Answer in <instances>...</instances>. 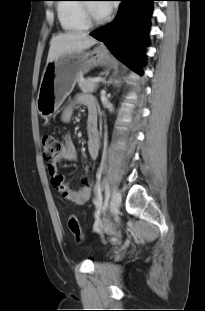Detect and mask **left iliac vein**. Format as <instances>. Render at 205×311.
<instances>
[{"label":"left iliac vein","instance_id":"4c4485c4","mask_svg":"<svg viewBox=\"0 0 205 311\" xmlns=\"http://www.w3.org/2000/svg\"><path fill=\"white\" fill-rule=\"evenodd\" d=\"M121 201H122V194L118 189H115L113 191L109 205L111 215H116L118 213Z\"/></svg>","mask_w":205,"mask_h":311}]
</instances>
